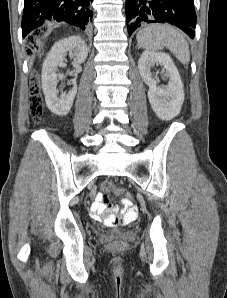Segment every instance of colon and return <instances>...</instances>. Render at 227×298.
Instances as JSON below:
<instances>
[{"instance_id": "colon-1", "label": "colon", "mask_w": 227, "mask_h": 298, "mask_svg": "<svg viewBox=\"0 0 227 298\" xmlns=\"http://www.w3.org/2000/svg\"><path fill=\"white\" fill-rule=\"evenodd\" d=\"M27 44L26 52L28 54L39 48L37 41L33 36L28 37ZM29 110L35 121H38L43 114V101L39 93L38 83L35 78L32 80L30 85ZM102 189L106 194L110 192H112V194H123L125 196L124 205L126 207H131L133 205L131 194L125 190L115 187L113 183L105 181L102 184ZM101 203L106 206L107 210H113V208H111L108 204V196L104 197ZM105 222L109 226H116L123 223L124 221L123 219L121 220L110 214L105 218ZM108 247L112 251H122L126 248V243L121 240H114L109 243Z\"/></svg>"}]
</instances>
